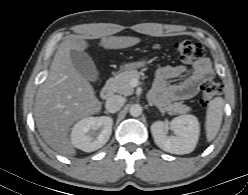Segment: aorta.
<instances>
[{"label":"aorta","mask_w":248,"mask_h":195,"mask_svg":"<svg viewBox=\"0 0 248 195\" xmlns=\"http://www.w3.org/2000/svg\"><path fill=\"white\" fill-rule=\"evenodd\" d=\"M129 112L131 116L138 117L142 114V107L139 104H133L131 105Z\"/></svg>","instance_id":"1"}]
</instances>
